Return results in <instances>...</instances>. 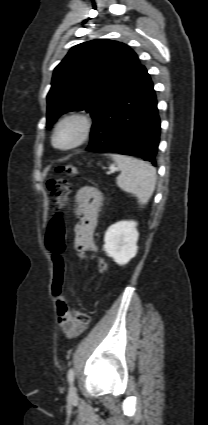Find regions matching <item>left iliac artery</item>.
<instances>
[{
	"label": "left iliac artery",
	"instance_id": "left-iliac-artery-1",
	"mask_svg": "<svg viewBox=\"0 0 208 425\" xmlns=\"http://www.w3.org/2000/svg\"><path fill=\"white\" fill-rule=\"evenodd\" d=\"M67 378H68V381H69L70 383H72V382H73V380H74V370H73L72 368H70V369L68 370Z\"/></svg>",
	"mask_w": 208,
	"mask_h": 425
}]
</instances>
